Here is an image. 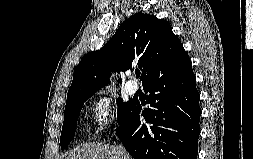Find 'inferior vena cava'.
Here are the masks:
<instances>
[{"label": "inferior vena cava", "mask_w": 253, "mask_h": 159, "mask_svg": "<svg viewBox=\"0 0 253 159\" xmlns=\"http://www.w3.org/2000/svg\"><path fill=\"white\" fill-rule=\"evenodd\" d=\"M120 149H121V150H124V148H123L122 146H120Z\"/></svg>", "instance_id": "1"}]
</instances>
